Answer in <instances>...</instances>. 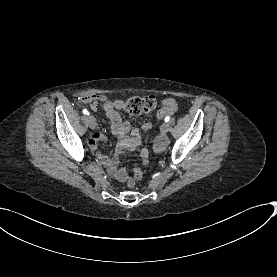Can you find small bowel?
Listing matches in <instances>:
<instances>
[{
    "label": "small bowel",
    "instance_id": "small-bowel-1",
    "mask_svg": "<svg viewBox=\"0 0 277 277\" xmlns=\"http://www.w3.org/2000/svg\"><path fill=\"white\" fill-rule=\"evenodd\" d=\"M86 99L84 102L96 101L103 103V108L105 111V115L110 121V126L113 133L117 137V148L116 153L120 154L126 150H133L140 143V133L137 129H132L131 124L128 121H123L121 115L118 110L121 107L120 101H112L108 100L106 95L92 92L89 96H84ZM83 97V98H84ZM93 102L90 105L91 110L96 111L99 108L98 103ZM163 111L166 116L173 114L176 109V102L172 98H167L163 102ZM151 123H144L142 125L143 131L151 130ZM106 135L104 133L96 132L92 139L89 141V146L91 149L96 148L97 140H104ZM97 156L100 159H104V164L111 167L113 170L114 176L119 181H124L127 178V173L123 169H117L118 161L116 159L105 158L101 152H97ZM141 156L143 158V162L146 164L148 162V151L144 148L141 152Z\"/></svg>",
    "mask_w": 277,
    "mask_h": 277
}]
</instances>
